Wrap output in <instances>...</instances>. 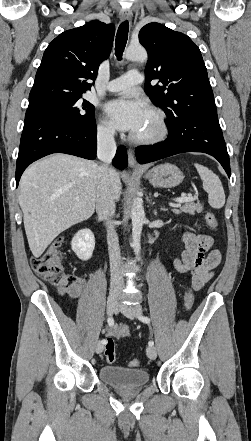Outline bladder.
Returning a JSON list of instances; mask_svg holds the SVG:
<instances>
[{"label":"bladder","mask_w":251,"mask_h":441,"mask_svg":"<svg viewBox=\"0 0 251 441\" xmlns=\"http://www.w3.org/2000/svg\"><path fill=\"white\" fill-rule=\"evenodd\" d=\"M100 379L118 389H134L146 385L150 380L144 369H131L120 366L105 365L99 370Z\"/></svg>","instance_id":"obj_1"}]
</instances>
